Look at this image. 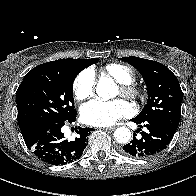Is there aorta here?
I'll list each match as a JSON object with an SVG mask.
<instances>
[{"label":"aorta","instance_id":"762f6f07","mask_svg":"<svg viewBox=\"0 0 196 196\" xmlns=\"http://www.w3.org/2000/svg\"><path fill=\"white\" fill-rule=\"evenodd\" d=\"M96 93L103 100H108L118 94V89L112 78L102 77L96 85ZM114 137L119 143H127L131 138V131L126 127H119L114 132Z\"/></svg>","mask_w":196,"mask_h":196}]
</instances>
